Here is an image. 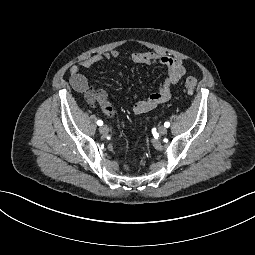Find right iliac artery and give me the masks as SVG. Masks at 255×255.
Here are the masks:
<instances>
[{"label": "right iliac artery", "instance_id": "82829eb1", "mask_svg": "<svg viewBox=\"0 0 255 255\" xmlns=\"http://www.w3.org/2000/svg\"><path fill=\"white\" fill-rule=\"evenodd\" d=\"M97 124H98L99 126H102V125H103V121H102V120H98V121H97Z\"/></svg>", "mask_w": 255, "mask_h": 255}]
</instances>
